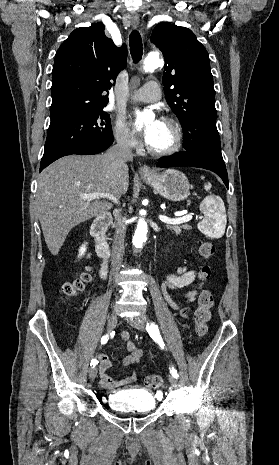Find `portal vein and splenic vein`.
I'll return each instance as SVG.
<instances>
[{
    "label": "portal vein and splenic vein",
    "instance_id": "18ae733b",
    "mask_svg": "<svg viewBox=\"0 0 279 465\" xmlns=\"http://www.w3.org/2000/svg\"><path fill=\"white\" fill-rule=\"evenodd\" d=\"M81 198L87 201H91L94 199H108L115 203H118L117 198L113 194H110V193L96 192V193H90V194H82ZM192 218L193 216L191 214H185L184 216L178 217V218H169L165 215H159V219L162 222L167 223V224H173V225L189 222L190 220H192Z\"/></svg>",
    "mask_w": 279,
    "mask_h": 465
}]
</instances>
